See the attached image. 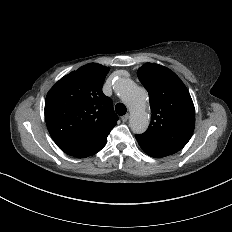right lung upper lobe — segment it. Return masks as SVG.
Returning a JSON list of instances; mask_svg holds the SVG:
<instances>
[{
	"label": "right lung upper lobe",
	"instance_id": "1",
	"mask_svg": "<svg viewBox=\"0 0 232 232\" xmlns=\"http://www.w3.org/2000/svg\"><path fill=\"white\" fill-rule=\"evenodd\" d=\"M110 68L90 63L59 80L45 100V120L57 146L74 157L100 151L116 125L112 101L102 92Z\"/></svg>",
	"mask_w": 232,
	"mask_h": 232
}]
</instances>
